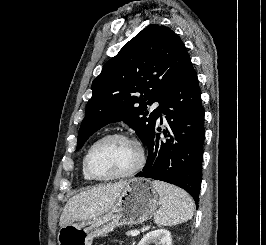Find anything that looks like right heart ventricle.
Segmentation results:
<instances>
[{
    "label": "right heart ventricle",
    "mask_w": 266,
    "mask_h": 245,
    "mask_svg": "<svg viewBox=\"0 0 266 245\" xmlns=\"http://www.w3.org/2000/svg\"><path fill=\"white\" fill-rule=\"evenodd\" d=\"M87 153V151H86ZM86 153L84 154L83 158H82V161H81V175H82V178L87 181V182H94L95 180H93L89 174L87 173L86 171V167H85V157H86Z\"/></svg>",
    "instance_id": "1"
}]
</instances>
